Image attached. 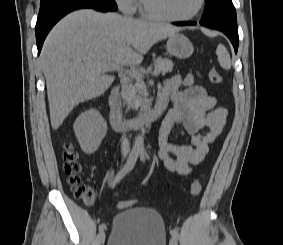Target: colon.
<instances>
[{
    "mask_svg": "<svg viewBox=\"0 0 283 245\" xmlns=\"http://www.w3.org/2000/svg\"><path fill=\"white\" fill-rule=\"evenodd\" d=\"M208 76L213 84H220L223 81L222 75L215 69H211ZM64 171L68 176V181L72 187L74 196L82 200L85 204L91 205L94 200V193L81 181V164L79 162V156L69 143H66L64 146ZM201 190L202 184L200 180H192L189 187L190 194L192 196H198L201 193ZM133 205L134 203L131 201H121L117 203V206L121 208H127Z\"/></svg>",
    "mask_w": 283,
    "mask_h": 245,
    "instance_id": "5ec220e1",
    "label": "colon"
}]
</instances>
